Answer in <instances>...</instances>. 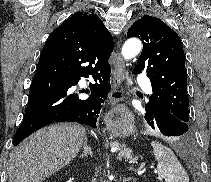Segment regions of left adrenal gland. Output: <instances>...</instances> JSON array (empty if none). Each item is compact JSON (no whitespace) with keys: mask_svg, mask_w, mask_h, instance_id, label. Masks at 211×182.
Wrapping results in <instances>:
<instances>
[{"mask_svg":"<svg viewBox=\"0 0 211 182\" xmlns=\"http://www.w3.org/2000/svg\"><path fill=\"white\" fill-rule=\"evenodd\" d=\"M132 180H134V179L131 177L123 178V182H128V181H132Z\"/></svg>","mask_w":211,"mask_h":182,"instance_id":"left-adrenal-gland-1","label":"left adrenal gland"}]
</instances>
